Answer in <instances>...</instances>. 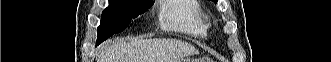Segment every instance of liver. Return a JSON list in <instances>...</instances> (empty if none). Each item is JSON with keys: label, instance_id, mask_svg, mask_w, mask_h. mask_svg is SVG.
Here are the masks:
<instances>
[{"label": "liver", "instance_id": "obj_1", "mask_svg": "<svg viewBox=\"0 0 331 62\" xmlns=\"http://www.w3.org/2000/svg\"><path fill=\"white\" fill-rule=\"evenodd\" d=\"M197 50L189 43L175 39H139L126 42L117 39L100 48L98 62H179Z\"/></svg>", "mask_w": 331, "mask_h": 62}]
</instances>
